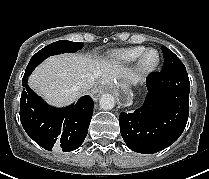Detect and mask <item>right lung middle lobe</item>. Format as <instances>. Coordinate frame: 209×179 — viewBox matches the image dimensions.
<instances>
[{
  "label": "right lung middle lobe",
  "mask_w": 209,
  "mask_h": 179,
  "mask_svg": "<svg viewBox=\"0 0 209 179\" xmlns=\"http://www.w3.org/2000/svg\"><path fill=\"white\" fill-rule=\"evenodd\" d=\"M82 48V42H72L68 40H60L52 44H49L48 46L44 47L43 49H41L33 55L29 64L27 65L24 77L30 75L34 68L47 57L61 53H73Z\"/></svg>",
  "instance_id": "dd1d6c3e"
}]
</instances>
